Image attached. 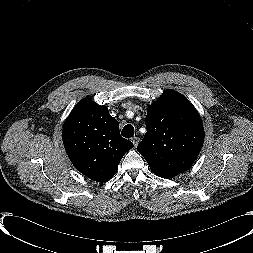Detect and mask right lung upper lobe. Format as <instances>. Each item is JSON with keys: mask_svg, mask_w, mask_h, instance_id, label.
I'll list each match as a JSON object with an SVG mask.
<instances>
[{"mask_svg": "<svg viewBox=\"0 0 253 253\" xmlns=\"http://www.w3.org/2000/svg\"><path fill=\"white\" fill-rule=\"evenodd\" d=\"M66 152L82 174L97 182L111 179L133 144L120 136L118 121L106 106L81 100L71 111L62 132Z\"/></svg>", "mask_w": 253, "mask_h": 253, "instance_id": "obj_1", "label": "right lung upper lobe"}]
</instances>
